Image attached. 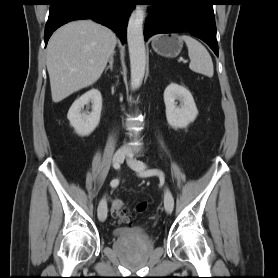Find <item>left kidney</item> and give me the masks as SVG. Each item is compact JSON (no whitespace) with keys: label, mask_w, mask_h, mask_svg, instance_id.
Returning a JSON list of instances; mask_svg holds the SVG:
<instances>
[{"label":"left kidney","mask_w":278,"mask_h":278,"mask_svg":"<svg viewBox=\"0 0 278 278\" xmlns=\"http://www.w3.org/2000/svg\"><path fill=\"white\" fill-rule=\"evenodd\" d=\"M176 100L180 101L179 106H177ZM164 103L167 122L172 128H186L198 115V110L190 91L176 83L169 84L165 89Z\"/></svg>","instance_id":"obj_1"}]
</instances>
